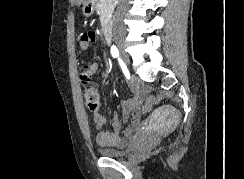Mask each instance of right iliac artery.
Listing matches in <instances>:
<instances>
[{"instance_id":"right-iliac-artery-1","label":"right iliac artery","mask_w":244,"mask_h":179,"mask_svg":"<svg viewBox=\"0 0 244 179\" xmlns=\"http://www.w3.org/2000/svg\"><path fill=\"white\" fill-rule=\"evenodd\" d=\"M111 54H112V56L114 57V58H118L119 57V51H118V49H117V47L116 46H112L111 47ZM120 60V59H119ZM128 71V70H127ZM124 73H126V71H124Z\"/></svg>"}]
</instances>
